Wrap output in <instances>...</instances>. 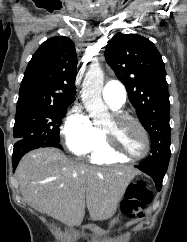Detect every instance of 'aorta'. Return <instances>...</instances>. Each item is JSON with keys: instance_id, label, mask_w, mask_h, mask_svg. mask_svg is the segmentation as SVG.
Instances as JSON below:
<instances>
[{"instance_id": "762f6f07", "label": "aorta", "mask_w": 187, "mask_h": 242, "mask_svg": "<svg viewBox=\"0 0 187 242\" xmlns=\"http://www.w3.org/2000/svg\"><path fill=\"white\" fill-rule=\"evenodd\" d=\"M104 73L98 66L90 67L82 84V100L89 116L95 123L108 118V108L104 104L101 91L103 88Z\"/></svg>"}]
</instances>
